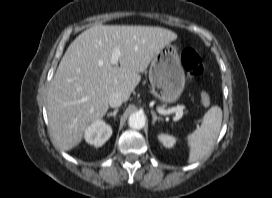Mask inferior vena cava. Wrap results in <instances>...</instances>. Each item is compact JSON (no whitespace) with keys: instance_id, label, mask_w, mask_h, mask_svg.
<instances>
[{"instance_id":"obj_1","label":"inferior vena cava","mask_w":272,"mask_h":198,"mask_svg":"<svg viewBox=\"0 0 272 198\" xmlns=\"http://www.w3.org/2000/svg\"><path fill=\"white\" fill-rule=\"evenodd\" d=\"M108 102L112 108L120 107L123 103V97L120 93L114 92L109 96Z\"/></svg>"}]
</instances>
